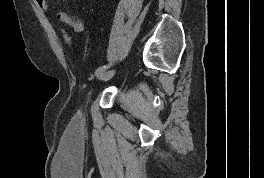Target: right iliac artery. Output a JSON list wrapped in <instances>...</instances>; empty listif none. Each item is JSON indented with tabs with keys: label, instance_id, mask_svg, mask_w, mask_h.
Masks as SVG:
<instances>
[{
	"label": "right iliac artery",
	"instance_id": "right-iliac-artery-1",
	"mask_svg": "<svg viewBox=\"0 0 264 178\" xmlns=\"http://www.w3.org/2000/svg\"><path fill=\"white\" fill-rule=\"evenodd\" d=\"M108 67H109V65H103V66L99 67V68L95 71V75H99L100 73H102L103 71H105Z\"/></svg>",
	"mask_w": 264,
	"mask_h": 178
}]
</instances>
